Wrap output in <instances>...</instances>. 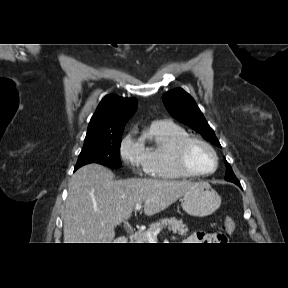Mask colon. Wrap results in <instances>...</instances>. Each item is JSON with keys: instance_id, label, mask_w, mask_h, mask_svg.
Returning a JSON list of instances; mask_svg holds the SVG:
<instances>
[{"instance_id": "obj_1", "label": "colon", "mask_w": 288, "mask_h": 288, "mask_svg": "<svg viewBox=\"0 0 288 288\" xmlns=\"http://www.w3.org/2000/svg\"><path fill=\"white\" fill-rule=\"evenodd\" d=\"M223 229L227 233H232L235 230V223L232 218H225V220L223 221Z\"/></svg>"}]
</instances>
